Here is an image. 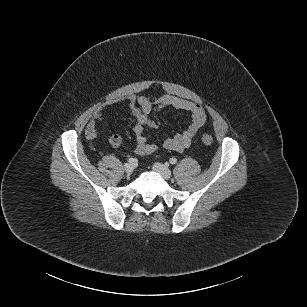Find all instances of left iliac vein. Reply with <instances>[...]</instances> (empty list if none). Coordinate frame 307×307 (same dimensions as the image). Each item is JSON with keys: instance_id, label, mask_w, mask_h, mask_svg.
<instances>
[{"instance_id": "left-iliac-vein-1", "label": "left iliac vein", "mask_w": 307, "mask_h": 307, "mask_svg": "<svg viewBox=\"0 0 307 307\" xmlns=\"http://www.w3.org/2000/svg\"><path fill=\"white\" fill-rule=\"evenodd\" d=\"M153 171L158 173L165 180H169L172 176L171 170L162 163H155L152 167Z\"/></svg>"}]
</instances>
